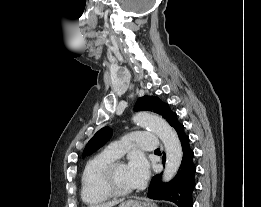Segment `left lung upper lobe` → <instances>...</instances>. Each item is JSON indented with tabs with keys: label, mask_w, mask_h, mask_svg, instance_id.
Here are the masks:
<instances>
[{
	"label": "left lung upper lobe",
	"mask_w": 261,
	"mask_h": 207,
	"mask_svg": "<svg viewBox=\"0 0 261 207\" xmlns=\"http://www.w3.org/2000/svg\"><path fill=\"white\" fill-rule=\"evenodd\" d=\"M134 109L136 111H152L160 114L172 127L178 122L176 113L170 110L169 105L155 96L140 97ZM111 135L112 132L109 127L100 129L87 143L83 151V156H88L102 147L110 139Z\"/></svg>",
	"instance_id": "1"
}]
</instances>
